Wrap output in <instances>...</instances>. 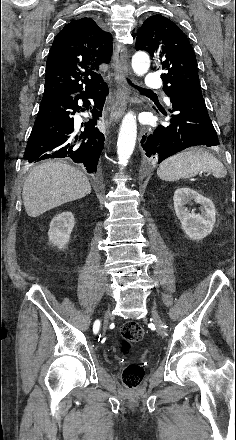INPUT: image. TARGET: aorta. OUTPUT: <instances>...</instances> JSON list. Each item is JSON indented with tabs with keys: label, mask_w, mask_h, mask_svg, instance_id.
<instances>
[{
	"label": "aorta",
	"mask_w": 236,
	"mask_h": 440,
	"mask_svg": "<svg viewBox=\"0 0 236 440\" xmlns=\"http://www.w3.org/2000/svg\"><path fill=\"white\" fill-rule=\"evenodd\" d=\"M150 67V59L143 51L136 52L132 57V68L138 76L146 74ZM137 137L136 116L129 112L122 120L117 141L118 164L125 167L131 157Z\"/></svg>",
	"instance_id": "aorta-1"
}]
</instances>
